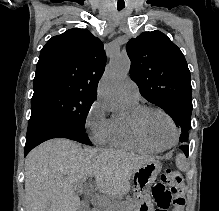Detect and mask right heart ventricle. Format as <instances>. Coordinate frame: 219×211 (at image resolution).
<instances>
[{
    "instance_id": "obj_1",
    "label": "right heart ventricle",
    "mask_w": 219,
    "mask_h": 211,
    "mask_svg": "<svg viewBox=\"0 0 219 211\" xmlns=\"http://www.w3.org/2000/svg\"><path fill=\"white\" fill-rule=\"evenodd\" d=\"M126 107V114L123 117H112V132L110 136V144L114 147L125 150L155 153L157 150L142 142L133 130L130 117L132 113L140 107L137 103L123 102Z\"/></svg>"
}]
</instances>
